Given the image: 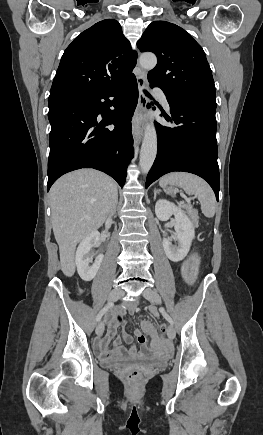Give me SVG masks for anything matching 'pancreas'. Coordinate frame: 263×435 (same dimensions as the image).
I'll return each instance as SVG.
<instances>
[{"label": "pancreas", "instance_id": "pancreas-1", "mask_svg": "<svg viewBox=\"0 0 263 435\" xmlns=\"http://www.w3.org/2000/svg\"><path fill=\"white\" fill-rule=\"evenodd\" d=\"M185 208L189 216L191 217L192 221L194 222V224L198 225V220H199L198 211L194 209L192 205L186 206Z\"/></svg>", "mask_w": 263, "mask_h": 435}]
</instances>
